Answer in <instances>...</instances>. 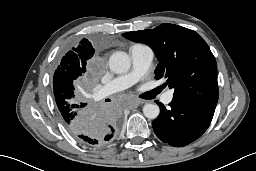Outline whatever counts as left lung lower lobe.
<instances>
[{"label": "left lung lower lobe", "mask_w": 256, "mask_h": 171, "mask_svg": "<svg viewBox=\"0 0 256 171\" xmlns=\"http://www.w3.org/2000/svg\"><path fill=\"white\" fill-rule=\"evenodd\" d=\"M160 115L152 122L157 137L175 147L198 139L209 127L215 107L192 100L173 98L168 108L159 104Z\"/></svg>", "instance_id": "left-lung-lower-lobe-1"}]
</instances>
